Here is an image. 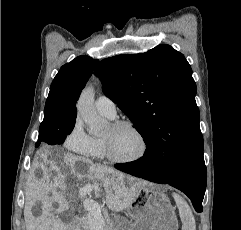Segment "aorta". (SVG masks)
I'll use <instances>...</instances> for the list:
<instances>
[{
    "instance_id": "obj_1",
    "label": "aorta",
    "mask_w": 241,
    "mask_h": 230,
    "mask_svg": "<svg viewBox=\"0 0 241 230\" xmlns=\"http://www.w3.org/2000/svg\"><path fill=\"white\" fill-rule=\"evenodd\" d=\"M94 88L90 85L84 88L77 102L78 116L88 126L91 135H101L104 133L107 121L101 118L94 107Z\"/></svg>"
}]
</instances>
